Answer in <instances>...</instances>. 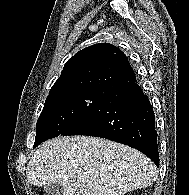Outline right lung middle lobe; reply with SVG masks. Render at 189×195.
Segmentation results:
<instances>
[{
  "mask_svg": "<svg viewBox=\"0 0 189 195\" xmlns=\"http://www.w3.org/2000/svg\"><path fill=\"white\" fill-rule=\"evenodd\" d=\"M109 92L72 89L49 94L36 124L34 148L80 123Z\"/></svg>",
  "mask_w": 189,
  "mask_h": 195,
  "instance_id": "right-lung-middle-lobe-1",
  "label": "right lung middle lobe"
}]
</instances>
